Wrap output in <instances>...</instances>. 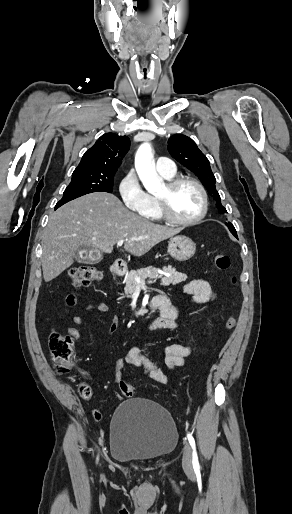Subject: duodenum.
I'll return each mask as SVG.
<instances>
[{
    "mask_svg": "<svg viewBox=\"0 0 292 514\" xmlns=\"http://www.w3.org/2000/svg\"><path fill=\"white\" fill-rule=\"evenodd\" d=\"M124 274H125V270L123 268H118L116 270L117 276H123ZM171 307H172L171 302L167 296L156 295L152 299L149 309L150 310H160L161 312L167 313L171 310ZM162 328H163V326L160 323L159 319H156L151 326L152 330H158V329H162Z\"/></svg>",
    "mask_w": 292,
    "mask_h": 514,
    "instance_id": "duodenum-1",
    "label": "duodenum"
}]
</instances>
